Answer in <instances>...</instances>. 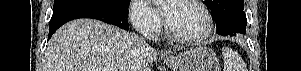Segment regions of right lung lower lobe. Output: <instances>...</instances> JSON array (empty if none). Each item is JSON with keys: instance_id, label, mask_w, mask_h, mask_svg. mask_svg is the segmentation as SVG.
Segmentation results:
<instances>
[{"instance_id": "right-lung-lower-lobe-1", "label": "right lung lower lobe", "mask_w": 301, "mask_h": 71, "mask_svg": "<svg viewBox=\"0 0 301 71\" xmlns=\"http://www.w3.org/2000/svg\"><path fill=\"white\" fill-rule=\"evenodd\" d=\"M127 11H117L98 5L74 4L53 10V15L49 24V37L63 24L78 18L97 19L108 24L118 26L128 30Z\"/></svg>"}]
</instances>
